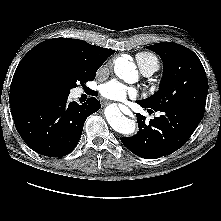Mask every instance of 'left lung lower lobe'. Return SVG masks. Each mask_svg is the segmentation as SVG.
<instances>
[{"label":"left lung lower lobe","mask_w":221,"mask_h":221,"mask_svg":"<svg viewBox=\"0 0 221 221\" xmlns=\"http://www.w3.org/2000/svg\"><path fill=\"white\" fill-rule=\"evenodd\" d=\"M142 108H150L139 102ZM148 111H152L151 108ZM155 111V110H154ZM163 114L148 124L146 117L136 113L139 131L132 137H122L121 142L134 154L146 159L169 155L183 146L195 131L204 113L182 108L160 110Z\"/></svg>","instance_id":"obj_1"}]
</instances>
